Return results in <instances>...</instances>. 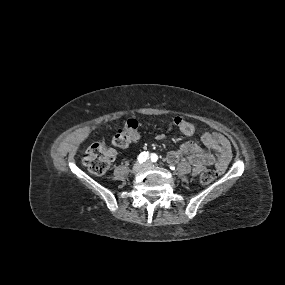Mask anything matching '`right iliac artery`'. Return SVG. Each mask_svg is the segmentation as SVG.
Returning <instances> with one entry per match:
<instances>
[{"label":"right iliac artery","instance_id":"1","mask_svg":"<svg viewBox=\"0 0 285 285\" xmlns=\"http://www.w3.org/2000/svg\"><path fill=\"white\" fill-rule=\"evenodd\" d=\"M149 158V153L148 152H142L139 154L138 158H137V161L139 163H143L145 162L147 159Z\"/></svg>","mask_w":285,"mask_h":285}]
</instances>
